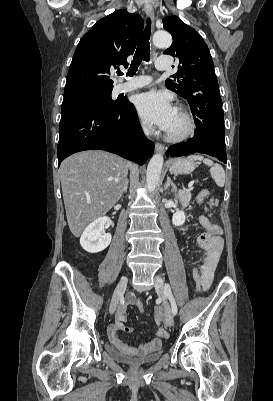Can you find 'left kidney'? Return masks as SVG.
<instances>
[{
    "instance_id": "5707ae66",
    "label": "left kidney",
    "mask_w": 273,
    "mask_h": 401,
    "mask_svg": "<svg viewBox=\"0 0 273 401\" xmlns=\"http://www.w3.org/2000/svg\"><path fill=\"white\" fill-rule=\"evenodd\" d=\"M185 219L184 211H177L172 217L173 225H175V227H181V225H184Z\"/></svg>"
}]
</instances>
